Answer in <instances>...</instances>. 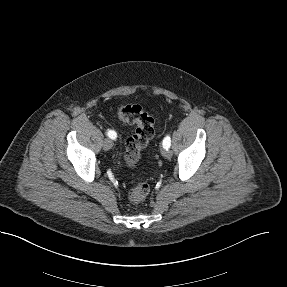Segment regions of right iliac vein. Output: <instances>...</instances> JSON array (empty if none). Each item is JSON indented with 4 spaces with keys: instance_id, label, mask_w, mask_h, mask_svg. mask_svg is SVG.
<instances>
[{
    "instance_id": "1",
    "label": "right iliac vein",
    "mask_w": 287,
    "mask_h": 287,
    "mask_svg": "<svg viewBox=\"0 0 287 287\" xmlns=\"http://www.w3.org/2000/svg\"><path fill=\"white\" fill-rule=\"evenodd\" d=\"M113 146V143L110 139H105L104 142H103V149L104 150H110Z\"/></svg>"
}]
</instances>
